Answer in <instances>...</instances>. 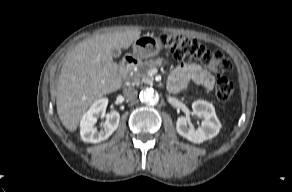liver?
Segmentation results:
<instances>
[{
	"mask_svg": "<svg viewBox=\"0 0 292 192\" xmlns=\"http://www.w3.org/2000/svg\"><path fill=\"white\" fill-rule=\"evenodd\" d=\"M140 30L106 33L77 44L67 53L57 85V113L63 126L73 132L89 106L122 85L112 49H128Z\"/></svg>",
	"mask_w": 292,
	"mask_h": 192,
	"instance_id": "1",
	"label": "liver"
}]
</instances>
